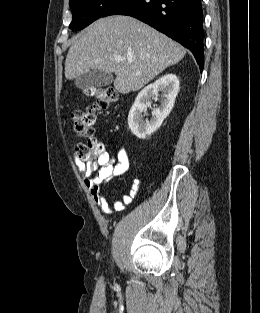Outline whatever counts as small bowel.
<instances>
[{"label": "small bowel", "mask_w": 260, "mask_h": 313, "mask_svg": "<svg viewBox=\"0 0 260 313\" xmlns=\"http://www.w3.org/2000/svg\"><path fill=\"white\" fill-rule=\"evenodd\" d=\"M101 160L103 162L101 169L94 176L91 175L89 167L84 162L76 159L75 164L78 172L83 175V184L89 190L93 201L105 215L109 216L114 211H124L126 206L132 202L140 185V177L138 174L134 177L129 193L121 199H115L112 209L102 193V185L114 177L123 175L129 168V158L123 148H118L112 160L107 153L102 155Z\"/></svg>", "instance_id": "1"}]
</instances>
